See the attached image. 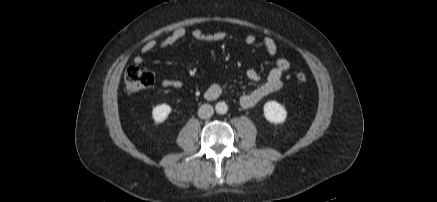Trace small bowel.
Returning <instances> with one entry per match:
<instances>
[{"label":"small bowel","instance_id":"1","mask_svg":"<svg viewBox=\"0 0 437 202\" xmlns=\"http://www.w3.org/2000/svg\"><path fill=\"white\" fill-rule=\"evenodd\" d=\"M186 35V30L183 27H178L174 29L168 36L162 39H153L145 43L140 49V53L134 58L136 64H142L144 62V55L151 52L154 49H166L179 40H181ZM228 37L227 32L218 31L212 33H206L200 29H195L191 32V38L198 44L204 42H216L224 40ZM244 41L247 45H252L255 43L256 38L252 34L245 36ZM262 45L270 57H274L277 54L278 47L274 39L271 37H264L262 40ZM290 68V62L285 58H279L276 60L275 65L268 73L266 79L261 82L258 87L250 92L244 93L240 97V104L244 108H250L256 105L260 100L269 95L272 92L279 90L282 85V75ZM246 77L254 82L260 81L259 73L250 69L246 72ZM163 87L180 89L182 88V83L178 80H168L164 79L161 81ZM222 92V86L220 84H212L207 92V98L216 99Z\"/></svg>","mask_w":437,"mask_h":202}]
</instances>
